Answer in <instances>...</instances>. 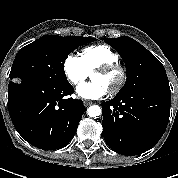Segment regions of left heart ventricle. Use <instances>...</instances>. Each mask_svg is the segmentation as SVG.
Wrapping results in <instances>:
<instances>
[{
  "label": "left heart ventricle",
  "mask_w": 178,
  "mask_h": 178,
  "mask_svg": "<svg viewBox=\"0 0 178 178\" xmlns=\"http://www.w3.org/2000/svg\"><path fill=\"white\" fill-rule=\"evenodd\" d=\"M92 81L104 84L109 90L114 87L117 81V75L115 73L104 74L94 73L91 76Z\"/></svg>",
  "instance_id": "1"
}]
</instances>
